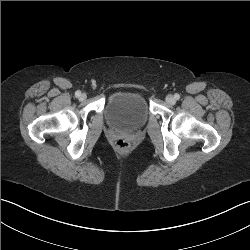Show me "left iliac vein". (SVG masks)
Listing matches in <instances>:
<instances>
[{
  "mask_svg": "<svg viewBox=\"0 0 250 250\" xmlns=\"http://www.w3.org/2000/svg\"><path fill=\"white\" fill-rule=\"evenodd\" d=\"M166 102L173 105V104H175L176 101H175V98L173 97V95H167Z\"/></svg>",
  "mask_w": 250,
  "mask_h": 250,
  "instance_id": "obj_1",
  "label": "left iliac vein"
}]
</instances>
